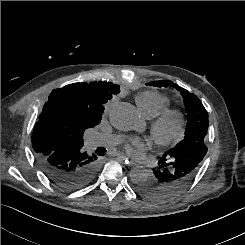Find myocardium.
<instances>
[{
  "instance_id": "myocardium-1",
  "label": "myocardium",
  "mask_w": 245,
  "mask_h": 245,
  "mask_svg": "<svg viewBox=\"0 0 245 245\" xmlns=\"http://www.w3.org/2000/svg\"><path fill=\"white\" fill-rule=\"evenodd\" d=\"M170 122L175 123L176 131L173 135L167 136L164 134V128ZM186 127V116L181 109L166 108L151 121L149 132L158 146L167 147L174 146L183 140Z\"/></svg>"
}]
</instances>
